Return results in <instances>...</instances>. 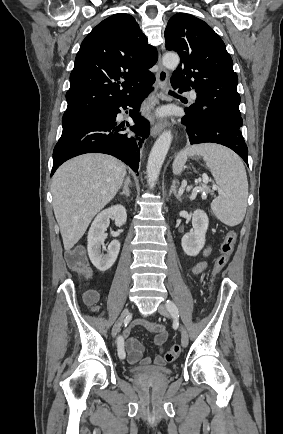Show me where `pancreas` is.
Listing matches in <instances>:
<instances>
[{
	"mask_svg": "<svg viewBox=\"0 0 283 434\" xmlns=\"http://www.w3.org/2000/svg\"><path fill=\"white\" fill-rule=\"evenodd\" d=\"M196 190H199L201 193H205V195H202L203 199H206L207 194L212 192L211 189L209 187H206V186L198 187Z\"/></svg>",
	"mask_w": 283,
	"mask_h": 434,
	"instance_id": "pancreas-1",
	"label": "pancreas"
}]
</instances>
